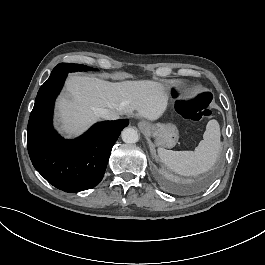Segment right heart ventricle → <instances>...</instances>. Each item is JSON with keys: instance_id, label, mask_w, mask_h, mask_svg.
I'll return each mask as SVG.
<instances>
[{"instance_id": "1", "label": "right heart ventricle", "mask_w": 265, "mask_h": 265, "mask_svg": "<svg viewBox=\"0 0 265 265\" xmlns=\"http://www.w3.org/2000/svg\"><path fill=\"white\" fill-rule=\"evenodd\" d=\"M180 90V87L178 85H170L166 88V94L167 95H173L177 93Z\"/></svg>"}]
</instances>
